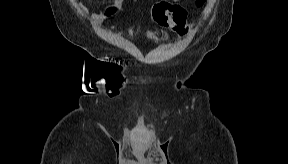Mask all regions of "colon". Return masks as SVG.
<instances>
[{
	"label": "colon",
	"mask_w": 288,
	"mask_h": 164,
	"mask_svg": "<svg viewBox=\"0 0 288 164\" xmlns=\"http://www.w3.org/2000/svg\"><path fill=\"white\" fill-rule=\"evenodd\" d=\"M152 19L157 25L168 28L184 36L193 27V22L188 21L183 8L171 3H158L152 10Z\"/></svg>",
	"instance_id": "5ec220e1"
}]
</instances>
